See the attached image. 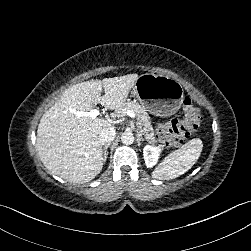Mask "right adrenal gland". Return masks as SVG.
I'll use <instances>...</instances> for the list:
<instances>
[{
	"mask_svg": "<svg viewBox=\"0 0 251 251\" xmlns=\"http://www.w3.org/2000/svg\"><path fill=\"white\" fill-rule=\"evenodd\" d=\"M110 143H107L105 144V146L102 148V159H103V162L105 163L106 160H107V156H108V147H109Z\"/></svg>",
	"mask_w": 251,
	"mask_h": 251,
	"instance_id": "right-adrenal-gland-1",
	"label": "right adrenal gland"
}]
</instances>
